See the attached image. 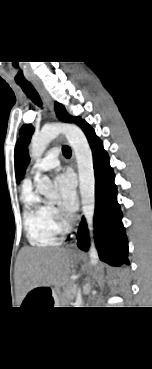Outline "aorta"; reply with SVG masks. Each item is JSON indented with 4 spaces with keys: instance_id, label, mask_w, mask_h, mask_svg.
<instances>
[{
    "instance_id": "obj_1",
    "label": "aorta",
    "mask_w": 152,
    "mask_h": 369,
    "mask_svg": "<svg viewBox=\"0 0 152 369\" xmlns=\"http://www.w3.org/2000/svg\"><path fill=\"white\" fill-rule=\"evenodd\" d=\"M59 134H64L73 148L77 160L82 211L86 218L90 232L91 245L89 248L90 264L97 265L98 251L93 239V217L95 211V176L92 151L83 131L73 124H50L42 127L39 133L31 139V155L40 158L48 144ZM37 191L47 198L57 196V190L47 176H43L37 183Z\"/></svg>"
}]
</instances>
